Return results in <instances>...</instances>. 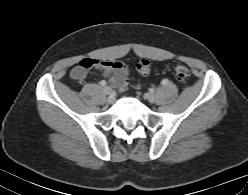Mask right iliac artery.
I'll list each match as a JSON object with an SVG mask.
<instances>
[{"instance_id":"1","label":"right iliac artery","mask_w":248,"mask_h":195,"mask_svg":"<svg viewBox=\"0 0 248 195\" xmlns=\"http://www.w3.org/2000/svg\"><path fill=\"white\" fill-rule=\"evenodd\" d=\"M100 85H101V86H105V85H106V81L102 80V81L100 82Z\"/></svg>"}]
</instances>
